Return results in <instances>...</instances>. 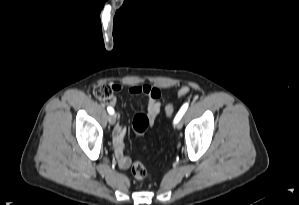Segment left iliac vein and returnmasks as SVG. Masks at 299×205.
Listing matches in <instances>:
<instances>
[{
	"label": "left iliac vein",
	"mask_w": 299,
	"mask_h": 205,
	"mask_svg": "<svg viewBox=\"0 0 299 205\" xmlns=\"http://www.w3.org/2000/svg\"><path fill=\"white\" fill-rule=\"evenodd\" d=\"M176 127H177V129H181V127H182V123L178 121V122L176 123Z\"/></svg>",
	"instance_id": "left-iliac-vein-1"
}]
</instances>
